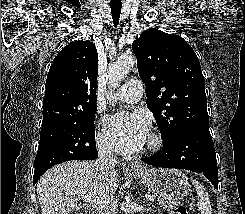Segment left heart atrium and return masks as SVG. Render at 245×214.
<instances>
[{"label":"left heart atrium","instance_id":"39dd6f15","mask_svg":"<svg viewBox=\"0 0 245 214\" xmlns=\"http://www.w3.org/2000/svg\"><path fill=\"white\" fill-rule=\"evenodd\" d=\"M103 123L110 144L118 152L138 151L148 140L149 122L141 114H112L107 116Z\"/></svg>","mask_w":245,"mask_h":214}]
</instances>
